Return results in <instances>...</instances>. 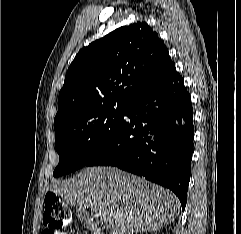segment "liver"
Returning <instances> with one entry per match:
<instances>
[{
	"mask_svg": "<svg viewBox=\"0 0 241 234\" xmlns=\"http://www.w3.org/2000/svg\"><path fill=\"white\" fill-rule=\"evenodd\" d=\"M49 189L76 211L98 212L109 234L156 231L174 221L180 209L171 191L115 167L84 168Z\"/></svg>",
	"mask_w": 241,
	"mask_h": 234,
	"instance_id": "6515ba94",
	"label": "liver"
}]
</instances>
